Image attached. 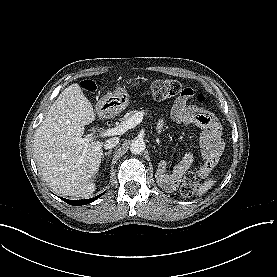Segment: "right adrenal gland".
I'll return each instance as SVG.
<instances>
[{"instance_id": "1", "label": "right adrenal gland", "mask_w": 277, "mask_h": 277, "mask_svg": "<svg viewBox=\"0 0 277 277\" xmlns=\"http://www.w3.org/2000/svg\"><path fill=\"white\" fill-rule=\"evenodd\" d=\"M111 152H112V150H109L108 152H105L103 155H102V161H104V158L106 157V156H110V154H111Z\"/></svg>"}]
</instances>
